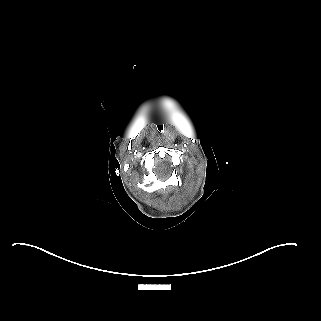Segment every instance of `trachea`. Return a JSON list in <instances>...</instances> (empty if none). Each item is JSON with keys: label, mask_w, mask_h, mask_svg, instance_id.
Wrapping results in <instances>:
<instances>
[{"label": "trachea", "mask_w": 321, "mask_h": 321, "mask_svg": "<svg viewBox=\"0 0 321 321\" xmlns=\"http://www.w3.org/2000/svg\"><path fill=\"white\" fill-rule=\"evenodd\" d=\"M155 129L158 131V132H163V121L161 119H158L156 121V126H155Z\"/></svg>", "instance_id": "1"}]
</instances>
